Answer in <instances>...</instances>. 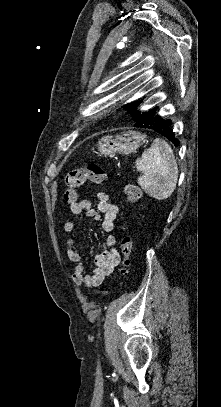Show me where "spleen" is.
<instances>
[{
	"label": "spleen",
	"instance_id": "1",
	"mask_svg": "<svg viewBox=\"0 0 221 407\" xmlns=\"http://www.w3.org/2000/svg\"><path fill=\"white\" fill-rule=\"evenodd\" d=\"M135 166L143 173L137 183L146 194L158 200L171 196L178 180V165L171 146L164 139H155L135 161Z\"/></svg>",
	"mask_w": 221,
	"mask_h": 407
}]
</instances>
